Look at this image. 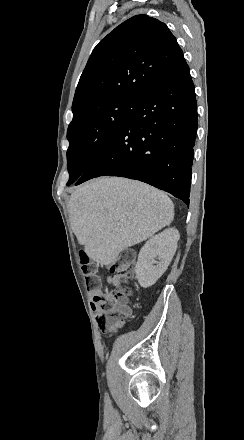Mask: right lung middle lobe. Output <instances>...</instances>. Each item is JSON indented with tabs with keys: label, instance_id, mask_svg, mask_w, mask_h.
<instances>
[{
	"label": "right lung middle lobe",
	"instance_id": "dd1d6c3e",
	"mask_svg": "<svg viewBox=\"0 0 244 440\" xmlns=\"http://www.w3.org/2000/svg\"><path fill=\"white\" fill-rule=\"evenodd\" d=\"M141 97H111L81 104L72 109L67 139V185L84 173L98 153L129 120Z\"/></svg>",
	"mask_w": 244,
	"mask_h": 440
}]
</instances>
